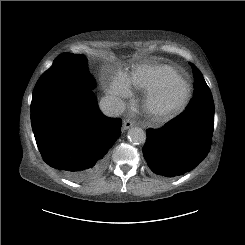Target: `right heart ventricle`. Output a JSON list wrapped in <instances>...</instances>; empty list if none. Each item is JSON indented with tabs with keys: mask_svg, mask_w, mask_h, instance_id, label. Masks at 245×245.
<instances>
[{
	"mask_svg": "<svg viewBox=\"0 0 245 245\" xmlns=\"http://www.w3.org/2000/svg\"><path fill=\"white\" fill-rule=\"evenodd\" d=\"M178 73L169 66H142L129 78L135 88L149 90L169 84Z\"/></svg>",
	"mask_w": 245,
	"mask_h": 245,
	"instance_id": "right-heart-ventricle-1",
	"label": "right heart ventricle"
}]
</instances>
